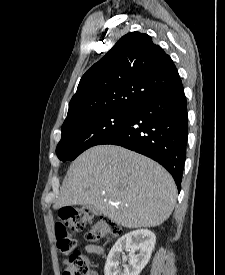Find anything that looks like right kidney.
Instances as JSON below:
<instances>
[{
  "label": "right kidney",
  "mask_w": 225,
  "mask_h": 275,
  "mask_svg": "<svg viewBox=\"0 0 225 275\" xmlns=\"http://www.w3.org/2000/svg\"><path fill=\"white\" fill-rule=\"evenodd\" d=\"M156 242L155 234L147 229L129 232L119 238L111 248L104 268L105 275H139L150 260ZM129 251V264L119 268L123 250ZM138 251V254L135 252Z\"/></svg>",
  "instance_id": "1"
}]
</instances>
